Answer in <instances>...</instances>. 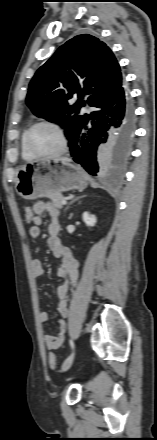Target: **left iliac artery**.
Masks as SVG:
<instances>
[{"label":"left iliac artery","instance_id":"44dca946","mask_svg":"<svg viewBox=\"0 0 157 440\" xmlns=\"http://www.w3.org/2000/svg\"><path fill=\"white\" fill-rule=\"evenodd\" d=\"M70 345L73 347V341L72 340H70Z\"/></svg>","mask_w":157,"mask_h":440}]
</instances>
